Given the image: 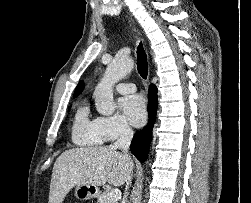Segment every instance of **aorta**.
I'll return each mask as SVG.
<instances>
[{"instance_id": "1", "label": "aorta", "mask_w": 251, "mask_h": 203, "mask_svg": "<svg viewBox=\"0 0 251 203\" xmlns=\"http://www.w3.org/2000/svg\"><path fill=\"white\" fill-rule=\"evenodd\" d=\"M134 62L131 58H116L106 68L105 74L95 89V104L97 111L105 116H110L115 111L113 98L114 85L123 79L133 69Z\"/></svg>"}]
</instances>
